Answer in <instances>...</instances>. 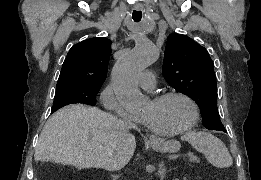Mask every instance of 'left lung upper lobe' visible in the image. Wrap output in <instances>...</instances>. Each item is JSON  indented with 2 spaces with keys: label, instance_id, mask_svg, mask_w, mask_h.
<instances>
[{
  "label": "left lung upper lobe",
  "instance_id": "1",
  "mask_svg": "<svg viewBox=\"0 0 261 180\" xmlns=\"http://www.w3.org/2000/svg\"><path fill=\"white\" fill-rule=\"evenodd\" d=\"M163 75L176 91L196 102L204 127L225 132L217 109L213 62L204 47L187 35H170L165 48Z\"/></svg>",
  "mask_w": 261,
  "mask_h": 180
}]
</instances>
